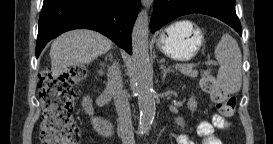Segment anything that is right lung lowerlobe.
<instances>
[{"label":"right lung lower lobe","mask_w":273,"mask_h":144,"mask_svg":"<svg viewBox=\"0 0 273 144\" xmlns=\"http://www.w3.org/2000/svg\"><path fill=\"white\" fill-rule=\"evenodd\" d=\"M140 0H44L38 25L36 57L63 32L86 28L98 31L132 53L131 30Z\"/></svg>","instance_id":"right-lung-lower-lobe-1"}]
</instances>
